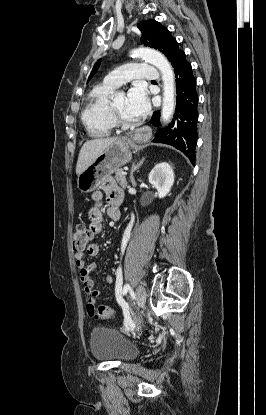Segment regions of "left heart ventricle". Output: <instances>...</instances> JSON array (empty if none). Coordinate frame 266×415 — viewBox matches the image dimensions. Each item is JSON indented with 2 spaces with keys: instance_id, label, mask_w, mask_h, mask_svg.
<instances>
[{
  "instance_id": "left-heart-ventricle-1",
  "label": "left heart ventricle",
  "mask_w": 266,
  "mask_h": 415,
  "mask_svg": "<svg viewBox=\"0 0 266 415\" xmlns=\"http://www.w3.org/2000/svg\"><path fill=\"white\" fill-rule=\"evenodd\" d=\"M114 105L118 112L128 121H135L136 117L132 116L127 110V96L124 93L118 94L114 99Z\"/></svg>"
}]
</instances>
